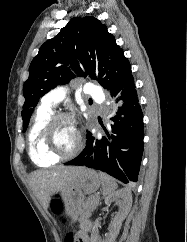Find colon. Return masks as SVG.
<instances>
[{
	"label": "colon",
	"instance_id": "1",
	"mask_svg": "<svg viewBox=\"0 0 187 242\" xmlns=\"http://www.w3.org/2000/svg\"><path fill=\"white\" fill-rule=\"evenodd\" d=\"M51 208L55 214H60L62 212V208H63L62 202L58 199H54L51 203ZM65 242H78V239L72 233H69L66 236Z\"/></svg>",
	"mask_w": 187,
	"mask_h": 242
}]
</instances>
